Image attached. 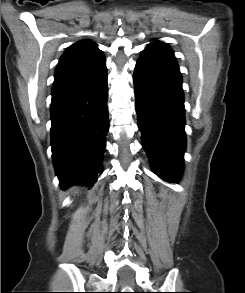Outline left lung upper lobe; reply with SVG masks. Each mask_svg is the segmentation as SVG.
<instances>
[{
  "mask_svg": "<svg viewBox=\"0 0 245 293\" xmlns=\"http://www.w3.org/2000/svg\"><path fill=\"white\" fill-rule=\"evenodd\" d=\"M149 46H154V47H157V48L164 49V50H167L169 52H172L171 49L167 46L166 43H161L159 41H155V42L151 43Z\"/></svg>",
  "mask_w": 245,
  "mask_h": 293,
  "instance_id": "1",
  "label": "left lung upper lobe"
}]
</instances>
